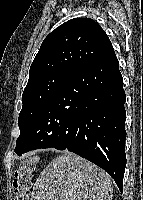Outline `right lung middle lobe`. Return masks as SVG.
<instances>
[{"label": "right lung middle lobe", "mask_w": 143, "mask_h": 200, "mask_svg": "<svg viewBox=\"0 0 143 200\" xmlns=\"http://www.w3.org/2000/svg\"><path fill=\"white\" fill-rule=\"evenodd\" d=\"M69 76L50 74L27 84L22 95L23 106L18 118L20 135L16 141L15 152H18L37 115Z\"/></svg>", "instance_id": "dd1d6c3e"}]
</instances>
